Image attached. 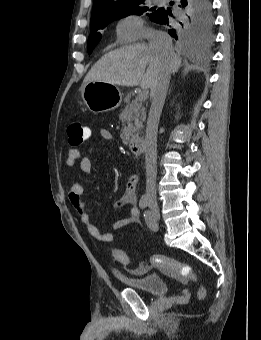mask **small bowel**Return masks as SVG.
Returning a JSON list of instances; mask_svg holds the SVG:
<instances>
[{
    "instance_id": "small-bowel-1",
    "label": "small bowel",
    "mask_w": 261,
    "mask_h": 340,
    "mask_svg": "<svg viewBox=\"0 0 261 340\" xmlns=\"http://www.w3.org/2000/svg\"><path fill=\"white\" fill-rule=\"evenodd\" d=\"M100 136L108 141L113 140L112 133L106 129L101 128ZM86 139L91 136V129L89 127H85ZM66 165L72 167L79 164L80 169L90 175L92 173V164L88 157L84 156L81 151L77 148H71L66 156ZM138 182V177L136 174H132L129 176L127 181L126 189L123 195L118 200V205H130V211L128 216L125 218L119 219L113 222L110 226L111 230H118L124 228L130 224L139 222V210L136 206L137 197H136V185ZM84 190L83 187L75 183L73 184L68 191V201L70 206L78 216L80 222L85 226L88 233L94 237L95 239L110 243L113 241L114 236L111 232H102L92 221L91 216L87 210L86 202L84 200ZM144 270V269H142Z\"/></svg>"
}]
</instances>
